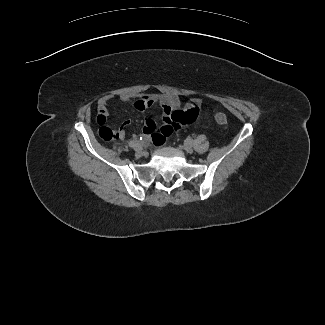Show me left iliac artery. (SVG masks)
I'll return each instance as SVG.
<instances>
[{"mask_svg": "<svg viewBox=\"0 0 325 325\" xmlns=\"http://www.w3.org/2000/svg\"><path fill=\"white\" fill-rule=\"evenodd\" d=\"M186 143L190 144V145L193 144V139L192 138H187Z\"/></svg>", "mask_w": 325, "mask_h": 325, "instance_id": "obj_1", "label": "left iliac artery"}]
</instances>
